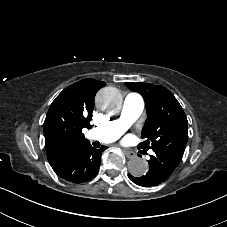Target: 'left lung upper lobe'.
Returning a JSON list of instances; mask_svg holds the SVG:
<instances>
[{"mask_svg": "<svg viewBox=\"0 0 227 227\" xmlns=\"http://www.w3.org/2000/svg\"><path fill=\"white\" fill-rule=\"evenodd\" d=\"M139 92L146 104L147 119L142 129L144 141L139 149L153 150L181 161L188 140V121L173 94L162 86L147 83H125Z\"/></svg>", "mask_w": 227, "mask_h": 227, "instance_id": "5c2ea615", "label": "left lung upper lobe"}]
</instances>
